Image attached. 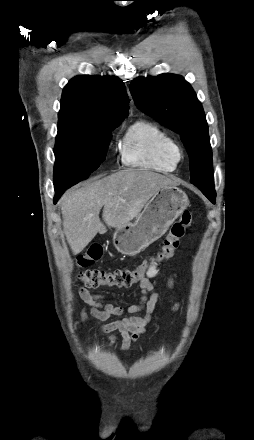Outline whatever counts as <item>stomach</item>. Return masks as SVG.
Wrapping results in <instances>:
<instances>
[{"mask_svg":"<svg viewBox=\"0 0 254 440\" xmlns=\"http://www.w3.org/2000/svg\"><path fill=\"white\" fill-rule=\"evenodd\" d=\"M185 192L174 185L160 188L134 223L116 229L113 245L124 255H135L162 237L188 206Z\"/></svg>","mask_w":254,"mask_h":440,"instance_id":"stomach-1","label":"stomach"}]
</instances>
